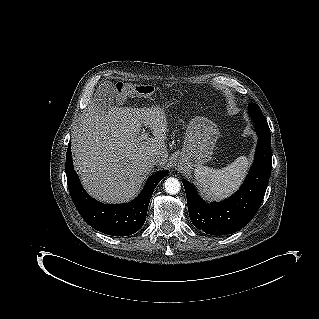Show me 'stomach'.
Listing matches in <instances>:
<instances>
[{"instance_id": "stomach-1", "label": "stomach", "mask_w": 319, "mask_h": 319, "mask_svg": "<svg viewBox=\"0 0 319 319\" xmlns=\"http://www.w3.org/2000/svg\"><path fill=\"white\" fill-rule=\"evenodd\" d=\"M218 137L219 129L216 124L204 117L193 118L186 130L179 164L192 168L211 160Z\"/></svg>"}]
</instances>
